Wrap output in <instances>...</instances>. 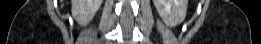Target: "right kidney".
<instances>
[{"mask_svg": "<svg viewBox=\"0 0 261 44\" xmlns=\"http://www.w3.org/2000/svg\"><path fill=\"white\" fill-rule=\"evenodd\" d=\"M72 15L82 25H87L98 11L102 0H72Z\"/></svg>", "mask_w": 261, "mask_h": 44, "instance_id": "obj_1", "label": "right kidney"}]
</instances>
